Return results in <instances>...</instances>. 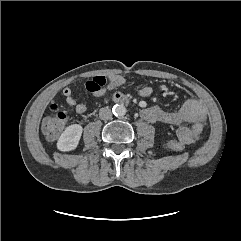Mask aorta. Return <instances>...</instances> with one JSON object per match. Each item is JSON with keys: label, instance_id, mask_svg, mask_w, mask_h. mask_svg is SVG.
Masks as SVG:
<instances>
[{"label": "aorta", "instance_id": "obj_1", "mask_svg": "<svg viewBox=\"0 0 241 241\" xmlns=\"http://www.w3.org/2000/svg\"><path fill=\"white\" fill-rule=\"evenodd\" d=\"M113 114H114L115 116H124V115L126 114V108H125V106L116 104V105L113 107Z\"/></svg>", "mask_w": 241, "mask_h": 241}]
</instances>
